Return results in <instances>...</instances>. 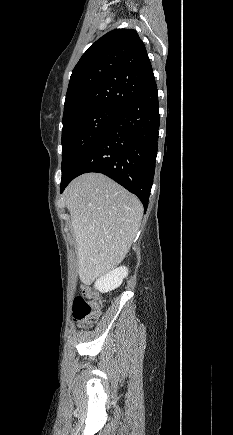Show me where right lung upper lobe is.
<instances>
[{"label": "right lung upper lobe", "mask_w": 233, "mask_h": 435, "mask_svg": "<svg viewBox=\"0 0 233 435\" xmlns=\"http://www.w3.org/2000/svg\"><path fill=\"white\" fill-rule=\"evenodd\" d=\"M154 81L138 33L110 31L87 49L73 69L62 121L99 107L122 110Z\"/></svg>", "instance_id": "right-lung-upper-lobe-1"}]
</instances>
